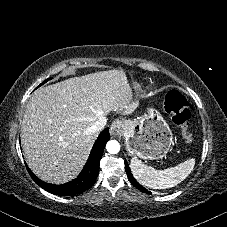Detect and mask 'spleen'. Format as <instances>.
<instances>
[{
    "instance_id": "1",
    "label": "spleen",
    "mask_w": 227,
    "mask_h": 227,
    "mask_svg": "<svg viewBox=\"0 0 227 227\" xmlns=\"http://www.w3.org/2000/svg\"><path fill=\"white\" fill-rule=\"evenodd\" d=\"M195 159L186 161L164 170H156L142 163L137 157L131 159L130 168L136 180L152 189H166L181 183L192 172Z\"/></svg>"
}]
</instances>
